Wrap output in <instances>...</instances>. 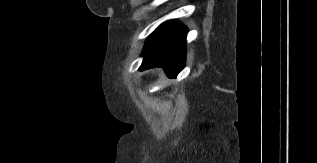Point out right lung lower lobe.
<instances>
[{"label":"right lung lower lobe","instance_id":"obj_1","mask_svg":"<svg viewBox=\"0 0 317 163\" xmlns=\"http://www.w3.org/2000/svg\"><path fill=\"white\" fill-rule=\"evenodd\" d=\"M186 27L170 20L161 24L146 40L140 70L163 67L171 78L185 66Z\"/></svg>","mask_w":317,"mask_h":163}]
</instances>
